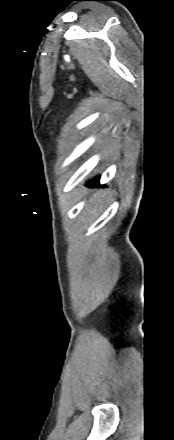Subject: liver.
I'll return each instance as SVG.
<instances>
[{
  "mask_svg": "<svg viewBox=\"0 0 174 440\" xmlns=\"http://www.w3.org/2000/svg\"><path fill=\"white\" fill-rule=\"evenodd\" d=\"M106 197H107V192L103 190H99L96 193H94V195L92 196L89 202L94 204L95 206L101 205L103 201L106 199Z\"/></svg>",
  "mask_w": 174,
  "mask_h": 440,
  "instance_id": "liver-1",
  "label": "liver"
}]
</instances>
